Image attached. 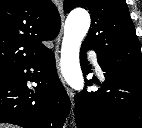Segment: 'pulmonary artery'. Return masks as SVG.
I'll use <instances>...</instances> for the list:
<instances>
[{"mask_svg":"<svg viewBox=\"0 0 142 128\" xmlns=\"http://www.w3.org/2000/svg\"><path fill=\"white\" fill-rule=\"evenodd\" d=\"M89 55H90V57H91V59H92L94 65H95V67H96L97 72L101 74V73H102V70H101V68H100V66H99V64H98L96 54H95L94 52L90 51V52H89Z\"/></svg>","mask_w":142,"mask_h":128,"instance_id":"obj_1","label":"pulmonary artery"}]
</instances>
